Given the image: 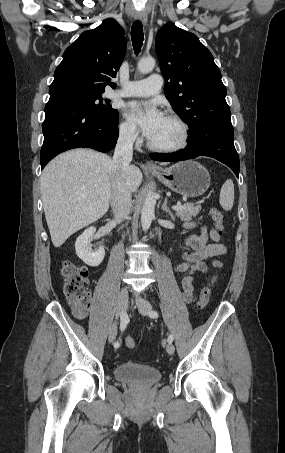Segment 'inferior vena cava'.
I'll return each mask as SVG.
<instances>
[{"mask_svg":"<svg viewBox=\"0 0 285 453\" xmlns=\"http://www.w3.org/2000/svg\"><path fill=\"white\" fill-rule=\"evenodd\" d=\"M134 141L133 129L120 134L113 155L112 164L118 171V175L112 184L110 198L115 222H121L128 217L131 211V191L125 183L123 175L132 160Z\"/></svg>","mask_w":285,"mask_h":453,"instance_id":"obj_1","label":"inferior vena cava"}]
</instances>
